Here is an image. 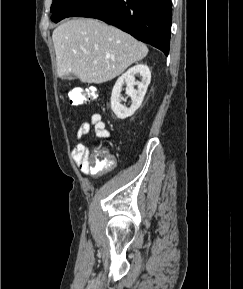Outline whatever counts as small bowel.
Segmentation results:
<instances>
[{
  "instance_id": "obj_1",
  "label": "small bowel",
  "mask_w": 243,
  "mask_h": 289,
  "mask_svg": "<svg viewBox=\"0 0 243 289\" xmlns=\"http://www.w3.org/2000/svg\"><path fill=\"white\" fill-rule=\"evenodd\" d=\"M92 127L98 139H109L111 137V132L107 129L106 124L99 113H93L90 116L89 121L80 124L76 132L78 143L72 151V156L84 175H89L91 172H94L89 164V148L83 142V139L88 135Z\"/></svg>"
}]
</instances>
